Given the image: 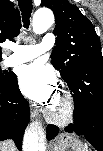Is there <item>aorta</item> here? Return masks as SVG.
Instances as JSON below:
<instances>
[{"mask_svg": "<svg viewBox=\"0 0 103 151\" xmlns=\"http://www.w3.org/2000/svg\"><path fill=\"white\" fill-rule=\"evenodd\" d=\"M54 22L53 12L48 8L38 9L32 20V28L36 34L46 32ZM23 151H45L42 138L34 130H28L23 139Z\"/></svg>", "mask_w": 103, "mask_h": 151, "instance_id": "obj_1", "label": "aorta"}]
</instances>
